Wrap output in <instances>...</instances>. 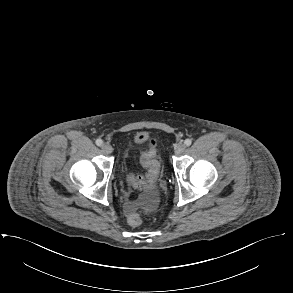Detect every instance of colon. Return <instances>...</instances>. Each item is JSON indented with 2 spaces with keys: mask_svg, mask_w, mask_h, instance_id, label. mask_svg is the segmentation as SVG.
I'll return each mask as SVG.
<instances>
[{
  "mask_svg": "<svg viewBox=\"0 0 293 293\" xmlns=\"http://www.w3.org/2000/svg\"><path fill=\"white\" fill-rule=\"evenodd\" d=\"M149 150L143 157L142 163L148 169V173L144 179H141L145 188H151L155 182L159 172V163L156 159V141L153 139H146ZM143 218L139 214H132L128 216V222L131 226L137 227L141 225Z\"/></svg>",
  "mask_w": 293,
  "mask_h": 293,
  "instance_id": "1",
  "label": "colon"
}]
</instances>
